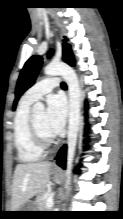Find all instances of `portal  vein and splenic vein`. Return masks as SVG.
Here are the masks:
<instances>
[{
  "mask_svg": "<svg viewBox=\"0 0 123 219\" xmlns=\"http://www.w3.org/2000/svg\"><path fill=\"white\" fill-rule=\"evenodd\" d=\"M54 192H51L48 197L46 198V207L50 208L53 205V200H54Z\"/></svg>",
  "mask_w": 123,
  "mask_h": 219,
  "instance_id": "portal-vein-and-splenic-vein-1",
  "label": "portal vein and splenic vein"
}]
</instances>
